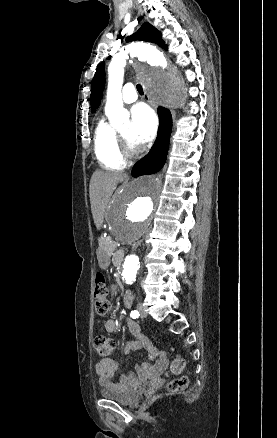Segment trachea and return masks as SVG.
<instances>
[{"mask_svg": "<svg viewBox=\"0 0 277 438\" xmlns=\"http://www.w3.org/2000/svg\"><path fill=\"white\" fill-rule=\"evenodd\" d=\"M136 88H137L139 94H140V95H143V89H142V86H141L140 84H138Z\"/></svg>", "mask_w": 277, "mask_h": 438, "instance_id": "1", "label": "trachea"}]
</instances>
